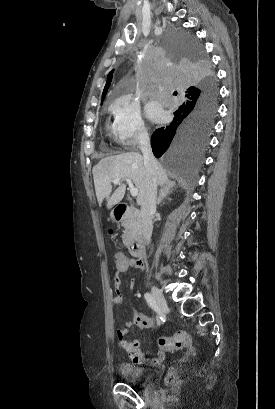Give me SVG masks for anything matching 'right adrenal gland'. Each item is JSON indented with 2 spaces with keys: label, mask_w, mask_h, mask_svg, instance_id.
<instances>
[{
  "label": "right adrenal gland",
  "mask_w": 275,
  "mask_h": 409,
  "mask_svg": "<svg viewBox=\"0 0 275 409\" xmlns=\"http://www.w3.org/2000/svg\"><path fill=\"white\" fill-rule=\"evenodd\" d=\"M174 184H162L159 192V196L157 198V205H160L161 200L163 198H167V194H170L173 190Z\"/></svg>",
  "instance_id": "2a0ac1e0"
}]
</instances>
